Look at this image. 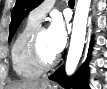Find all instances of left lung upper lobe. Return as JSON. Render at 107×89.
<instances>
[{
	"label": "left lung upper lobe",
	"mask_w": 107,
	"mask_h": 89,
	"mask_svg": "<svg viewBox=\"0 0 107 89\" xmlns=\"http://www.w3.org/2000/svg\"><path fill=\"white\" fill-rule=\"evenodd\" d=\"M43 0H16V4L11 13V23L9 26V41H11L17 28L24 17Z\"/></svg>",
	"instance_id": "5c2ea615"
}]
</instances>
